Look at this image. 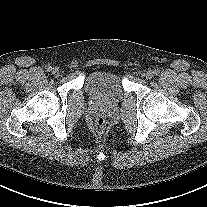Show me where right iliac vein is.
Instances as JSON below:
<instances>
[{
    "label": "right iliac vein",
    "mask_w": 207,
    "mask_h": 207,
    "mask_svg": "<svg viewBox=\"0 0 207 207\" xmlns=\"http://www.w3.org/2000/svg\"><path fill=\"white\" fill-rule=\"evenodd\" d=\"M52 74H53L55 77L59 76V74H60L59 69H58V68H53V70H52Z\"/></svg>",
    "instance_id": "obj_1"
}]
</instances>
